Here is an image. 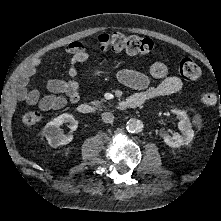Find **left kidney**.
<instances>
[{"label": "left kidney", "mask_w": 221, "mask_h": 221, "mask_svg": "<svg viewBox=\"0 0 221 221\" xmlns=\"http://www.w3.org/2000/svg\"><path fill=\"white\" fill-rule=\"evenodd\" d=\"M171 112L179 119L178 126L182 134L175 133L172 136L165 134L163 136L164 142L173 148L188 145L194 138V131L187 113L179 109H172Z\"/></svg>", "instance_id": "1"}]
</instances>
